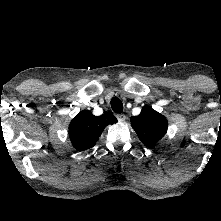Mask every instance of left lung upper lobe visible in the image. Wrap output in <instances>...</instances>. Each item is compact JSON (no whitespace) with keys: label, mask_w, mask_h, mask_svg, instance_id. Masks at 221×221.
Masks as SVG:
<instances>
[{"label":"left lung upper lobe","mask_w":221,"mask_h":221,"mask_svg":"<svg viewBox=\"0 0 221 221\" xmlns=\"http://www.w3.org/2000/svg\"><path fill=\"white\" fill-rule=\"evenodd\" d=\"M166 118L153 110L144 107L138 116L131 117V126L139 139L147 146H154L167 132Z\"/></svg>","instance_id":"1"}]
</instances>
